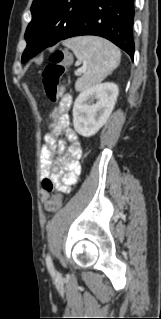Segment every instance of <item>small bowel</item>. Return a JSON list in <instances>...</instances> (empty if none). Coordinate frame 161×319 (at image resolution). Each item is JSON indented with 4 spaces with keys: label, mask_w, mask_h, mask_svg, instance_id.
I'll list each match as a JSON object with an SVG mask.
<instances>
[{
    "label": "small bowel",
    "mask_w": 161,
    "mask_h": 319,
    "mask_svg": "<svg viewBox=\"0 0 161 319\" xmlns=\"http://www.w3.org/2000/svg\"><path fill=\"white\" fill-rule=\"evenodd\" d=\"M71 101L70 95H64L60 106L49 114L51 120L50 128L49 132L44 135V145L41 151L42 177L43 179H51L54 186L62 193H68L70 187L78 181L81 174L79 158L82 155V148L74 131L69 127V117L67 114ZM61 135L59 150L61 154L67 152L70 156V159L64 165L52 160L57 147L56 137ZM66 140L71 143L68 148L66 147ZM49 167H51V171L48 169ZM47 199L48 194L43 191L42 200L46 201Z\"/></svg>",
    "instance_id": "c3829d8e"
}]
</instances>
